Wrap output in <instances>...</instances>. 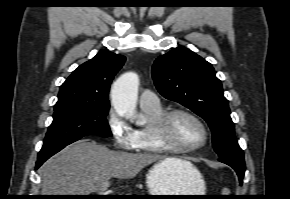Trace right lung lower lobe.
Segmentation results:
<instances>
[{"label": "right lung lower lobe", "mask_w": 290, "mask_h": 199, "mask_svg": "<svg viewBox=\"0 0 290 199\" xmlns=\"http://www.w3.org/2000/svg\"><path fill=\"white\" fill-rule=\"evenodd\" d=\"M63 148L64 147L57 148L54 150L40 151L36 162V169H38L48 158H50L52 155H54Z\"/></svg>", "instance_id": "obj_1"}]
</instances>
